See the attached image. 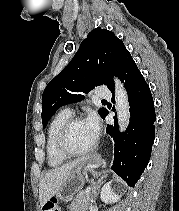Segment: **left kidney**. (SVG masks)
Wrapping results in <instances>:
<instances>
[{
    "label": "left kidney",
    "instance_id": "1",
    "mask_svg": "<svg viewBox=\"0 0 179 211\" xmlns=\"http://www.w3.org/2000/svg\"><path fill=\"white\" fill-rule=\"evenodd\" d=\"M117 190L116 185H112L110 182L106 183L101 190V200L106 204L117 202L121 197Z\"/></svg>",
    "mask_w": 179,
    "mask_h": 211
}]
</instances>
